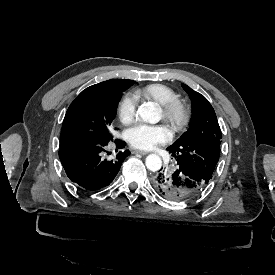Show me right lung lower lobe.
Wrapping results in <instances>:
<instances>
[{
	"label": "right lung lower lobe",
	"instance_id": "obj_1",
	"mask_svg": "<svg viewBox=\"0 0 275 275\" xmlns=\"http://www.w3.org/2000/svg\"><path fill=\"white\" fill-rule=\"evenodd\" d=\"M109 142L118 149L125 143L119 139L103 142L87 136L73 135L62 137L59 158L69 179L80 189L95 191L108 186L117 175L122 162L130 152H119L115 159L103 158Z\"/></svg>",
	"mask_w": 275,
	"mask_h": 275
}]
</instances>
